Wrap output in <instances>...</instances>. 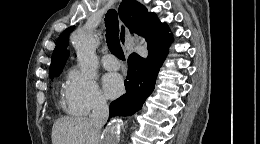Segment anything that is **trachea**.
I'll return each instance as SVG.
<instances>
[{"label": "trachea", "instance_id": "obj_1", "mask_svg": "<svg viewBox=\"0 0 260 144\" xmlns=\"http://www.w3.org/2000/svg\"><path fill=\"white\" fill-rule=\"evenodd\" d=\"M106 42L109 50L120 60H125L124 52L119 42L118 15L114 9L108 10L105 16Z\"/></svg>", "mask_w": 260, "mask_h": 144}]
</instances>
